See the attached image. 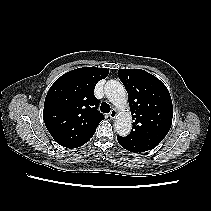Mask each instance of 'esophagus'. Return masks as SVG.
<instances>
[{
	"label": "esophagus",
	"mask_w": 211,
	"mask_h": 211,
	"mask_svg": "<svg viewBox=\"0 0 211 211\" xmlns=\"http://www.w3.org/2000/svg\"><path fill=\"white\" fill-rule=\"evenodd\" d=\"M116 116H117V110L116 109H112L111 112L109 113V117L111 119H114V118H116Z\"/></svg>",
	"instance_id": "esophagus-1"
}]
</instances>
